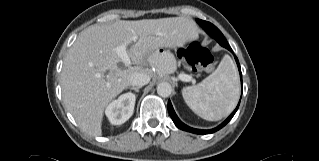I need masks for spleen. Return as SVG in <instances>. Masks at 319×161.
Here are the masks:
<instances>
[{
    "mask_svg": "<svg viewBox=\"0 0 319 161\" xmlns=\"http://www.w3.org/2000/svg\"><path fill=\"white\" fill-rule=\"evenodd\" d=\"M240 86L236 67L225 55L217 69L201 83L182 89V96L189 108L201 118L217 121L235 108Z\"/></svg>",
    "mask_w": 319,
    "mask_h": 161,
    "instance_id": "1",
    "label": "spleen"
}]
</instances>
